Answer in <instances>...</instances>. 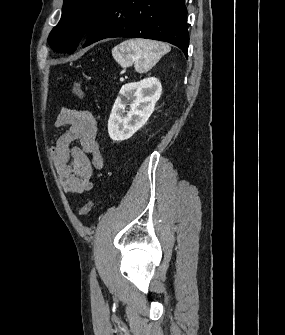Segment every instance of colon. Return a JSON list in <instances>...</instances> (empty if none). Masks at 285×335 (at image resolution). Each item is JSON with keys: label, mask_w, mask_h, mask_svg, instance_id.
<instances>
[{"label": "colon", "mask_w": 285, "mask_h": 335, "mask_svg": "<svg viewBox=\"0 0 285 335\" xmlns=\"http://www.w3.org/2000/svg\"><path fill=\"white\" fill-rule=\"evenodd\" d=\"M72 92L74 95H76L79 98H85L86 93L80 86V84L77 81H74L72 83ZM95 202L93 199L88 200L79 210V215L81 217L87 216L91 210L94 208Z\"/></svg>", "instance_id": "colon-1"}]
</instances>
